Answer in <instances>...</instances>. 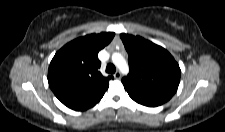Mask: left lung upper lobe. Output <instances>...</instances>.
Wrapping results in <instances>:
<instances>
[{"label": "left lung upper lobe", "instance_id": "obj_1", "mask_svg": "<svg viewBox=\"0 0 225 132\" xmlns=\"http://www.w3.org/2000/svg\"><path fill=\"white\" fill-rule=\"evenodd\" d=\"M130 72L122 79L129 96L144 105H161L177 91L181 70L163 47L139 36L120 35Z\"/></svg>", "mask_w": 225, "mask_h": 132}]
</instances>
